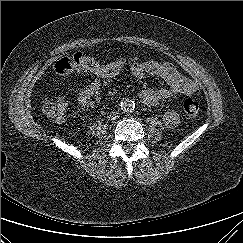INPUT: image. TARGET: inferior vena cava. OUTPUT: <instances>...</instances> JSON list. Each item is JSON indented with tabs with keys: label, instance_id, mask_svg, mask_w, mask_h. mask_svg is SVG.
I'll use <instances>...</instances> for the list:
<instances>
[{
	"label": "inferior vena cava",
	"instance_id": "obj_1",
	"mask_svg": "<svg viewBox=\"0 0 243 243\" xmlns=\"http://www.w3.org/2000/svg\"><path fill=\"white\" fill-rule=\"evenodd\" d=\"M119 112H111L109 115H108V119L109 120H116L117 118H119Z\"/></svg>",
	"mask_w": 243,
	"mask_h": 243
}]
</instances>
